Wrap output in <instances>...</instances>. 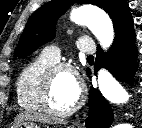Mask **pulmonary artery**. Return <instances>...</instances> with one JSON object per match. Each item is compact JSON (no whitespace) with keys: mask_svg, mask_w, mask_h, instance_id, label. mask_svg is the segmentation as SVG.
<instances>
[{"mask_svg":"<svg viewBox=\"0 0 142 128\" xmlns=\"http://www.w3.org/2000/svg\"><path fill=\"white\" fill-rule=\"evenodd\" d=\"M76 45H77L78 50L84 54L92 55L96 51L93 41L90 38L85 37V36L80 37L77 40ZM41 54L44 57H46L54 62H57L60 58V49L54 45L46 46L42 50Z\"/></svg>","mask_w":142,"mask_h":128,"instance_id":"obj_1","label":"pulmonary artery"}]
</instances>
